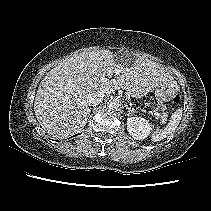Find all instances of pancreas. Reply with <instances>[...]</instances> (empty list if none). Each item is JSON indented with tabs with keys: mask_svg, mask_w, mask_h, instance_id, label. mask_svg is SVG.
<instances>
[{
	"mask_svg": "<svg viewBox=\"0 0 211 211\" xmlns=\"http://www.w3.org/2000/svg\"><path fill=\"white\" fill-rule=\"evenodd\" d=\"M162 119H166V116H165V115H163V116H162Z\"/></svg>",
	"mask_w": 211,
	"mask_h": 211,
	"instance_id": "obj_1",
	"label": "pancreas"
}]
</instances>
